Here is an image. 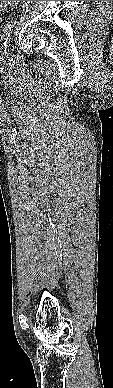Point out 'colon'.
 Wrapping results in <instances>:
<instances>
[{
    "label": "colon",
    "mask_w": 113,
    "mask_h": 388,
    "mask_svg": "<svg viewBox=\"0 0 113 388\" xmlns=\"http://www.w3.org/2000/svg\"><path fill=\"white\" fill-rule=\"evenodd\" d=\"M16 1H0V11H4L7 8L14 5Z\"/></svg>",
    "instance_id": "1"
}]
</instances>
